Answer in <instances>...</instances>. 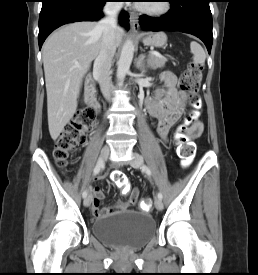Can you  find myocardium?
<instances>
[{
    "mask_svg": "<svg viewBox=\"0 0 258 275\" xmlns=\"http://www.w3.org/2000/svg\"><path fill=\"white\" fill-rule=\"evenodd\" d=\"M161 5L158 8H149L145 6H138V10L149 16H162L168 13L171 9V3L169 0L161 1Z\"/></svg>",
    "mask_w": 258,
    "mask_h": 275,
    "instance_id": "obj_1",
    "label": "myocardium"
}]
</instances>
